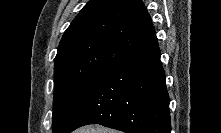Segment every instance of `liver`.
<instances>
[{
  "instance_id": "6515ba94",
  "label": "liver",
  "mask_w": 221,
  "mask_h": 133,
  "mask_svg": "<svg viewBox=\"0 0 221 133\" xmlns=\"http://www.w3.org/2000/svg\"><path fill=\"white\" fill-rule=\"evenodd\" d=\"M74 133H116V131L101 126H86L77 129Z\"/></svg>"
}]
</instances>
